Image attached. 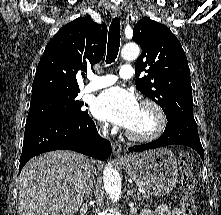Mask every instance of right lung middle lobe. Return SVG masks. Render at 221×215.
<instances>
[{"label": "right lung middle lobe", "mask_w": 221, "mask_h": 215, "mask_svg": "<svg viewBox=\"0 0 221 215\" xmlns=\"http://www.w3.org/2000/svg\"><path fill=\"white\" fill-rule=\"evenodd\" d=\"M77 95L78 92L54 94L31 101L26 123L49 118L73 122L89 116L82 110L84 103L76 99Z\"/></svg>", "instance_id": "right-lung-middle-lobe-1"}]
</instances>
